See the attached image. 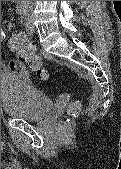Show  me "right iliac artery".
<instances>
[{
  "label": "right iliac artery",
  "instance_id": "82829eb1",
  "mask_svg": "<svg viewBox=\"0 0 121 169\" xmlns=\"http://www.w3.org/2000/svg\"><path fill=\"white\" fill-rule=\"evenodd\" d=\"M16 12H17V14H18L19 16L23 15L24 12H25L24 6L21 5V4H19V5L17 6Z\"/></svg>",
  "mask_w": 121,
  "mask_h": 169
}]
</instances>
